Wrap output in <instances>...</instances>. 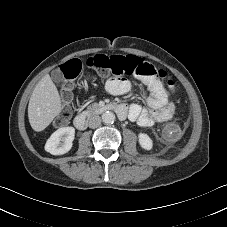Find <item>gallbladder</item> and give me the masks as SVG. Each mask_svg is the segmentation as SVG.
<instances>
[{
  "mask_svg": "<svg viewBox=\"0 0 227 227\" xmlns=\"http://www.w3.org/2000/svg\"><path fill=\"white\" fill-rule=\"evenodd\" d=\"M51 76L55 82H62L64 80L63 73L60 69L53 70Z\"/></svg>",
  "mask_w": 227,
  "mask_h": 227,
  "instance_id": "gallbladder-1",
  "label": "gallbladder"
}]
</instances>
